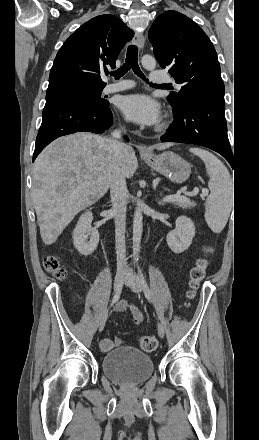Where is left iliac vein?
Wrapping results in <instances>:
<instances>
[{
  "mask_svg": "<svg viewBox=\"0 0 259 440\" xmlns=\"http://www.w3.org/2000/svg\"><path fill=\"white\" fill-rule=\"evenodd\" d=\"M127 284L131 287V289L136 293H141L143 291V286L141 280L133 274L128 280ZM165 334V328L162 323H158V335L160 338H163Z\"/></svg>",
  "mask_w": 259,
  "mask_h": 440,
  "instance_id": "left-iliac-vein-1",
  "label": "left iliac vein"
}]
</instances>
